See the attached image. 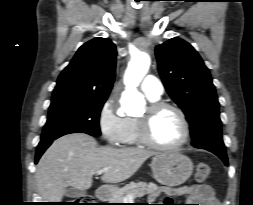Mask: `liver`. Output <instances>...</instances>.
<instances>
[{
    "mask_svg": "<svg viewBox=\"0 0 253 205\" xmlns=\"http://www.w3.org/2000/svg\"><path fill=\"white\" fill-rule=\"evenodd\" d=\"M155 153L140 148L98 147L85 133H72L55 140L40 158L35 179L45 202H61L67 187L86 190L93 175L107 169L101 180L119 183L130 178Z\"/></svg>",
    "mask_w": 253,
    "mask_h": 205,
    "instance_id": "liver-1",
    "label": "liver"
}]
</instances>
